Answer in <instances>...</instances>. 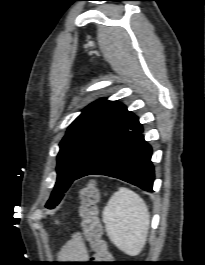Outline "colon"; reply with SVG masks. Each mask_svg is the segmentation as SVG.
<instances>
[{
    "label": "colon",
    "instance_id": "5ec220e1",
    "mask_svg": "<svg viewBox=\"0 0 205 265\" xmlns=\"http://www.w3.org/2000/svg\"><path fill=\"white\" fill-rule=\"evenodd\" d=\"M78 208L81 227L93 251L92 265H104L110 261L108 244L103 237L102 225L98 215L99 190L94 181L88 182L80 191Z\"/></svg>",
    "mask_w": 205,
    "mask_h": 265
}]
</instances>
